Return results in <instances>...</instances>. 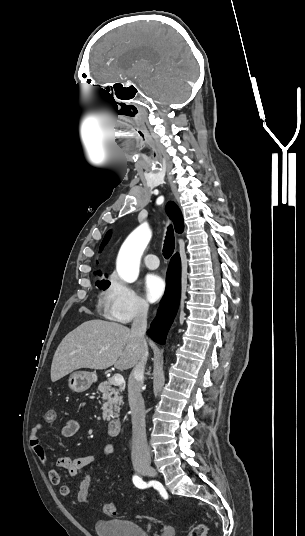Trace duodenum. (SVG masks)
<instances>
[{
    "mask_svg": "<svg viewBox=\"0 0 305 536\" xmlns=\"http://www.w3.org/2000/svg\"><path fill=\"white\" fill-rule=\"evenodd\" d=\"M121 428V423L117 419H112L105 425L106 433L109 435H118Z\"/></svg>",
    "mask_w": 305,
    "mask_h": 536,
    "instance_id": "duodenum-1",
    "label": "duodenum"
}]
</instances>
